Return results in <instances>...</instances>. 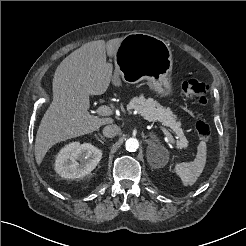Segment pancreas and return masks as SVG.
Here are the masks:
<instances>
[{"label": "pancreas", "instance_id": "obj_1", "mask_svg": "<svg viewBox=\"0 0 246 246\" xmlns=\"http://www.w3.org/2000/svg\"><path fill=\"white\" fill-rule=\"evenodd\" d=\"M136 110L148 121H159L174 130L178 136L177 147H187L188 141L181 128V122L169 108H165L152 98L145 99L143 95L134 97L127 105V110Z\"/></svg>", "mask_w": 246, "mask_h": 246}]
</instances>
